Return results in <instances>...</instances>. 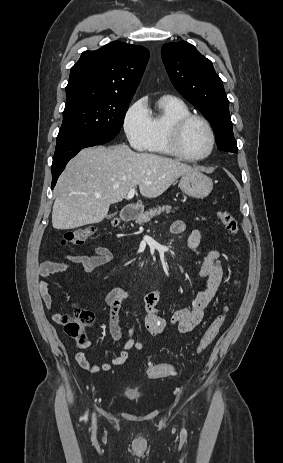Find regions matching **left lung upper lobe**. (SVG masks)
<instances>
[{
	"label": "left lung upper lobe",
	"mask_w": 283,
	"mask_h": 463,
	"mask_svg": "<svg viewBox=\"0 0 283 463\" xmlns=\"http://www.w3.org/2000/svg\"><path fill=\"white\" fill-rule=\"evenodd\" d=\"M161 55L174 87L212 125L218 149L236 153L229 101L212 62L186 41L164 44Z\"/></svg>",
	"instance_id": "5c2ea615"
}]
</instances>
